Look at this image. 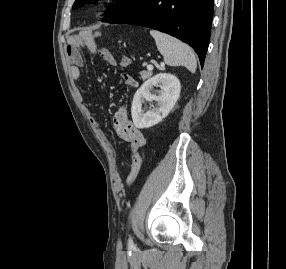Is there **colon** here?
Masks as SVG:
<instances>
[{
    "instance_id": "5ec220e1",
    "label": "colon",
    "mask_w": 286,
    "mask_h": 269,
    "mask_svg": "<svg viewBox=\"0 0 286 269\" xmlns=\"http://www.w3.org/2000/svg\"><path fill=\"white\" fill-rule=\"evenodd\" d=\"M136 57H123L119 62L120 66H132L136 62ZM121 88H136V83H121Z\"/></svg>"
}]
</instances>
